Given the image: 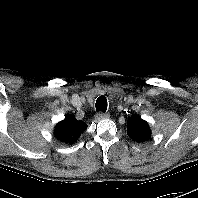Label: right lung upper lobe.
Wrapping results in <instances>:
<instances>
[{
	"label": "right lung upper lobe",
	"instance_id": "cb5924a9",
	"mask_svg": "<svg viewBox=\"0 0 198 198\" xmlns=\"http://www.w3.org/2000/svg\"><path fill=\"white\" fill-rule=\"evenodd\" d=\"M86 128L87 124L85 122L68 115L56 125L54 135L58 140L72 144L80 137Z\"/></svg>",
	"mask_w": 198,
	"mask_h": 198
}]
</instances>
